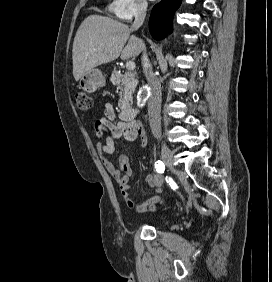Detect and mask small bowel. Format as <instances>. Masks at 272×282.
<instances>
[{
  "mask_svg": "<svg viewBox=\"0 0 272 282\" xmlns=\"http://www.w3.org/2000/svg\"><path fill=\"white\" fill-rule=\"evenodd\" d=\"M94 131L97 139H105L104 142H98L96 145L97 152L102 162L117 182L120 194L126 205L133 211L141 212L147 207H152L159 201V194L163 190V179L159 174L149 173L145 176V183L156 193L144 201H135L130 190V178L132 168L129 158L121 154L118 157V165L109 159L108 154L114 151L115 141L124 138L128 141L139 139L140 147L146 148L148 138L142 124L138 121H122L116 116L114 108L107 104L104 109V115L99 117L94 123Z\"/></svg>",
  "mask_w": 272,
  "mask_h": 282,
  "instance_id": "c3829d8e",
  "label": "small bowel"
}]
</instances>
